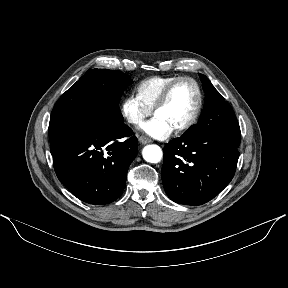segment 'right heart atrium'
Returning a JSON list of instances; mask_svg holds the SVG:
<instances>
[{"label": "right heart atrium", "mask_w": 288, "mask_h": 288, "mask_svg": "<svg viewBox=\"0 0 288 288\" xmlns=\"http://www.w3.org/2000/svg\"><path fill=\"white\" fill-rule=\"evenodd\" d=\"M121 112L128 123L138 126L145 117L151 114L152 108L144 104L137 96L131 94L123 99Z\"/></svg>", "instance_id": "obj_1"}]
</instances>
